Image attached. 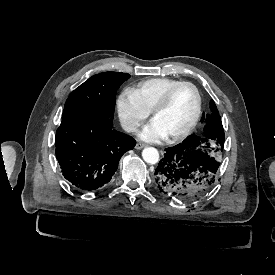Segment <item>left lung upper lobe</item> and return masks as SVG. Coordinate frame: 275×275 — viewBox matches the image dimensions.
<instances>
[{
  "mask_svg": "<svg viewBox=\"0 0 275 275\" xmlns=\"http://www.w3.org/2000/svg\"><path fill=\"white\" fill-rule=\"evenodd\" d=\"M211 113H203L201 122L206 121L204 136H188L181 144L175 146V150L188 154L192 151L191 158L199 164L217 171L219 162L217 157L224 145V129L220 115L213 101L210 103Z\"/></svg>",
  "mask_w": 275,
  "mask_h": 275,
  "instance_id": "1",
  "label": "left lung upper lobe"
}]
</instances>
